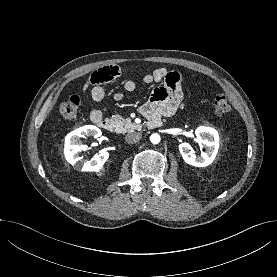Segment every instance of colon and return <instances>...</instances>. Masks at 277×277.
Returning a JSON list of instances; mask_svg holds the SVG:
<instances>
[{
	"mask_svg": "<svg viewBox=\"0 0 277 277\" xmlns=\"http://www.w3.org/2000/svg\"><path fill=\"white\" fill-rule=\"evenodd\" d=\"M80 98L72 95L60 106V113L67 119H73L77 116L80 108ZM213 109L219 116H224L230 111V104L224 94H217L213 99Z\"/></svg>",
	"mask_w": 277,
	"mask_h": 277,
	"instance_id": "colon-1",
	"label": "colon"
}]
</instances>
